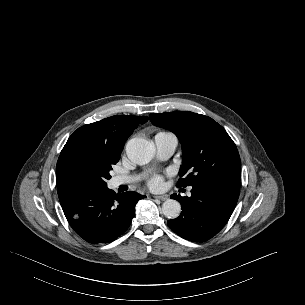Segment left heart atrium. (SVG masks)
<instances>
[{
	"mask_svg": "<svg viewBox=\"0 0 305 305\" xmlns=\"http://www.w3.org/2000/svg\"><path fill=\"white\" fill-rule=\"evenodd\" d=\"M148 185L153 190H159L163 187V178L161 176H153L148 181Z\"/></svg>",
	"mask_w": 305,
	"mask_h": 305,
	"instance_id": "left-heart-atrium-1",
	"label": "left heart atrium"
}]
</instances>
